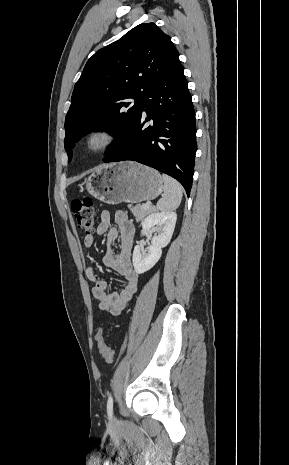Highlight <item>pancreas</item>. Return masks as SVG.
Returning <instances> with one entry per match:
<instances>
[{"instance_id": "cf45deb5", "label": "pancreas", "mask_w": 289, "mask_h": 465, "mask_svg": "<svg viewBox=\"0 0 289 465\" xmlns=\"http://www.w3.org/2000/svg\"><path fill=\"white\" fill-rule=\"evenodd\" d=\"M128 208L133 213L137 222L141 221L146 215H148L151 212L150 208L145 209L143 208V205H140V204L136 206L128 205Z\"/></svg>"}]
</instances>
